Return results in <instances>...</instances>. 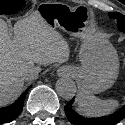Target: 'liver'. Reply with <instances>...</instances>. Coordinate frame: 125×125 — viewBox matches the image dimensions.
I'll use <instances>...</instances> for the list:
<instances>
[{"mask_svg":"<svg viewBox=\"0 0 125 125\" xmlns=\"http://www.w3.org/2000/svg\"><path fill=\"white\" fill-rule=\"evenodd\" d=\"M69 56L67 42L39 12L17 21L13 36L5 21L0 19V107L19 96L25 72L40 71L41 65L66 62Z\"/></svg>","mask_w":125,"mask_h":125,"instance_id":"6515ba94","label":"liver"}]
</instances>
